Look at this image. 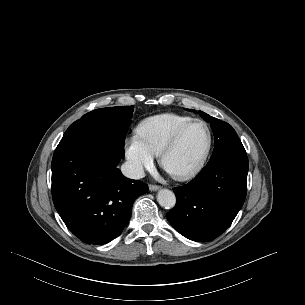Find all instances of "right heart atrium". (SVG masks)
I'll return each instance as SVG.
<instances>
[{
	"label": "right heart atrium",
	"mask_w": 305,
	"mask_h": 305,
	"mask_svg": "<svg viewBox=\"0 0 305 305\" xmlns=\"http://www.w3.org/2000/svg\"><path fill=\"white\" fill-rule=\"evenodd\" d=\"M125 156L132 173L136 176H140L146 169L152 168L154 164V155L138 136H132L126 140Z\"/></svg>",
	"instance_id": "right-heart-atrium-1"
}]
</instances>
